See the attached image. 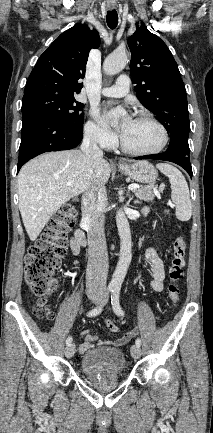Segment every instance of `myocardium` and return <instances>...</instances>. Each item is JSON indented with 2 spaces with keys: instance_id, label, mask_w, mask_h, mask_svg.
<instances>
[{
  "instance_id": "obj_1",
  "label": "myocardium",
  "mask_w": 213,
  "mask_h": 433,
  "mask_svg": "<svg viewBox=\"0 0 213 433\" xmlns=\"http://www.w3.org/2000/svg\"><path fill=\"white\" fill-rule=\"evenodd\" d=\"M135 120H145V121H148V122L152 123L153 125H155L158 128V130L160 131L161 141H160L159 145L153 149L139 151V150H134V149L129 148L123 142L122 138L120 137L119 145H120L121 150L127 154L134 155V156H150V155H155V154L160 153L166 147L168 140H169L167 129L163 125V123L149 113H139L135 117Z\"/></svg>"
}]
</instances>
